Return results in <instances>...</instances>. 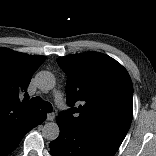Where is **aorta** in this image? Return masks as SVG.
<instances>
[{"mask_svg":"<svg viewBox=\"0 0 156 156\" xmlns=\"http://www.w3.org/2000/svg\"><path fill=\"white\" fill-rule=\"evenodd\" d=\"M36 83L40 90L49 91L54 88L56 81L51 72L41 71L36 75ZM59 134L60 129L56 122H47L42 128V136L48 141L57 139Z\"/></svg>","mask_w":156,"mask_h":156,"instance_id":"1","label":"aorta"}]
</instances>
